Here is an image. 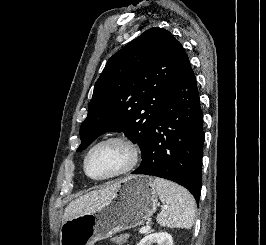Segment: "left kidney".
I'll list each match as a JSON object with an SVG mask.
<instances>
[{
	"mask_svg": "<svg viewBox=\"0 0 266 245\" xmlns=\"http://www.w3.org/2000/svg\"><path fill=\"white\" fill-rule=\"evenodd\" d=\"M138 245H174V243L169 233H152L143 237Z\"/></svg>",
	"mask_w": 266,
	"mask_h": 245,
	"instance_id": "left-kidney-1",
	"label": "left kidney"
}]
</instances>
